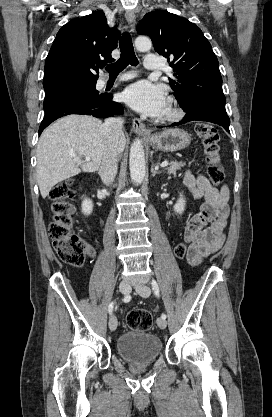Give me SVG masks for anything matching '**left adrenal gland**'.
I'll list each match as a JSON object with an SVG mask.
<instances>
[{"label":"left adrenal gland","instance_id":"obj_1","mask_svg":"<svg viewBox=\"0 0 272 417\" xmlns=\"http://www.w3.org/2000/svg\"><path fill=\"white\" fill-rule=\"evenodd\" d=\"M151 172H152V176L154 177L156 174H160L161 172L158 171L157 169H154V167H151Z\"/></svg>","mask_w":272,"mask_h":417}]
</instances>
